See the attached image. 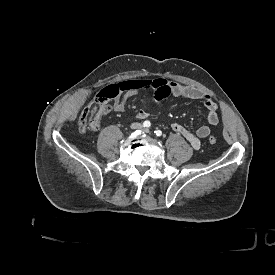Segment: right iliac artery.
I'll use <instances>...</instances> for the list:
<instances>
[{
  "mask_svg": "<svg viewBox=\"0 0 275 275\" xmlns=\"http://www.w3.org/2000/svg\"><path fill=\"white\" fill-rule=\"evenodd\" d=\"M143 126H144V127H147V128L150 127V126H151L150 121H148V120L144 121V122H143Z\"/></svg>",
  "mask_w": 275,
  "mask_h": 275,
  "instance_id": "82829eb1",
  "label": "right iliac artery"
}]
</instances>
